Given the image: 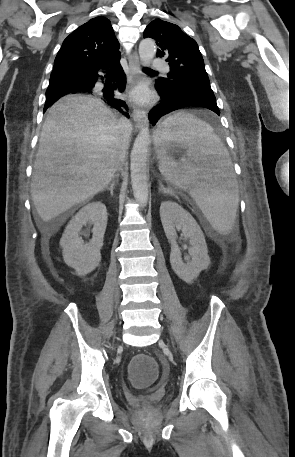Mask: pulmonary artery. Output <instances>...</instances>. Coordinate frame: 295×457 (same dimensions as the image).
<instances>
[{
	"label": "pulmonary artery",
	"instance_id": "e3ab8cb5",
	"mask_svg": "<svg viewBox=\"0 0 295 457\" xmlns=\"http://www.w3.org/2000/svg\"><path fill=\"white\" fill-rule=\"evenodd\" d=\"M152 67L154 69H158V70H161L163 72H167L168 71V65L166 64V62L160 58H155L152 60Z\"/></svg>",
	"mask_w": 295,
	"mask_h": 457
}]
</instances>
